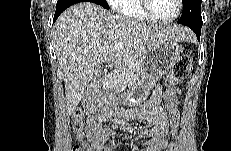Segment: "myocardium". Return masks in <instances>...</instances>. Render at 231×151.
Returning <instances> with one entry per match:
<instances>
[{
	"instance_id": "1",
	"label": "myocardium",
	"mask_w": 231,
	"mask_h": 151,
	"mask_svg": "<svg viewBox=\"0 0 231 151\" xmlns=\"http://www.w3.org/2000/svg\"><path fill=\"white\" fill-rule=\"evenodd\" d=\"M182 3H183L182 0H176L177 10L175 14L168 19H159L152 14L150 9V0H141L140 6H141L142 13L148 18L149 21L157 24H169L174 22L180 16L182 11Z\"/></svg>"
}]
</instances>
